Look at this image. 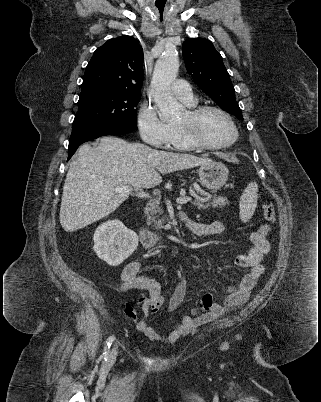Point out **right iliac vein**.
<instances>
[{
  "mask_svg": "<svg viewBox=\"0 0 321 402\" xmlns=\"http://www.w3.org/2000/svg\"><path fill=\"white\" fill-rule=\"evenodd\" d=\"M116 357H117V345H115L111 349L110 354L108 356V361L112 363V362H114L116 360Z\"/></svg>",
  "mask_w": 321,
  "mask_h": 402,
  "instance_id": "63e3f726",
  "label": "right iliac vein"
}]
</instances>
